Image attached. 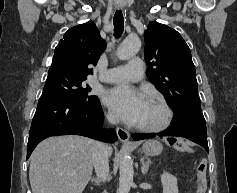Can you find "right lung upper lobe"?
Here are the masks:
<instances>
[{"instance_id": "1", "label": "right lung upper lobe", "mask_w": 237, "mask_h": 193, "mask_svg": "<svg viewBox=\"0 0 237 193\" xmlns=\"http://www.w3.org/2000/svg\"><path fill=\"white\" fill-rule=\"evenodd\" d=\"M106 43L94 24L89 21L70 28L55 48L48 72L87 78L93 71L89 67L97 63Z\"/></svg>"}]
</instances>
